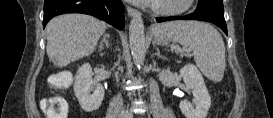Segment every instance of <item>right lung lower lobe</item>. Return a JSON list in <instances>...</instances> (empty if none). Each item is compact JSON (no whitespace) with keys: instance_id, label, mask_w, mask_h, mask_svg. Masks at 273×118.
<instances>
[{"instance_id":"obj_1","label":"right lung lower lobe","mask_w":273,"mask_h":118,"mask_svg":"<svg viewBox=\"0 0 273 118\" xmlns=\"http://www.w3.org/2000/svg\"><path fill=\"white\" fill-rule=\"evenodd\" d=\"M82 13L95 16L118 29H124V6L121 0H45L43 27L54 16Z\"/></svg>"}]
</instances>
